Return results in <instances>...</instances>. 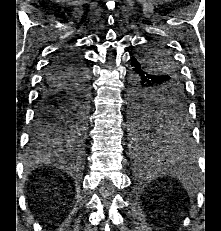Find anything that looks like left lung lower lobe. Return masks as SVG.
Segmentation results:
<instances>
[{
    "label": "left lung lower lobe",
    "instance_id": "obj_1",
    "mask_svg": "<svg viewBox=\"0 0 221 231\" xmlns=\"http://www.w3.org/2000/svg\"><path fill=\"white\" fill-rule=\"evenodd\" d=\"M131 70L129 75V113L137 114L148 106L149 93H157L161 89V77L156 76L147 70L144 61L133 57L131 59ZM179 127L180 132L176 137L159 134L150 137L144 141H136L141 149H151L152 163L166 162L174 164L177 168L182 158L190 156L192 152V144L188 129L185 123L175 125ZM135 138V137H134ZM165 156V159L162 157Z\"/></svg>",
    "mask_w": 221,
    "mask_h": 231
}]
</instances>
